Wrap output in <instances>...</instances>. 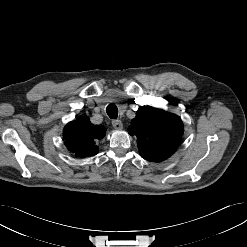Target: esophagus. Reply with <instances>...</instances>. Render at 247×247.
<instances>
[{"label": "esophagus", "mask_w": 247, "mask_h": 247, "mask_svg": "<svg viewBox=\"0 0 247 247\" xmlns=\"http://www.w3.org/2000/svg\"><path fill=\"white\" fill-rule=\"evenodd\" d=\"M112 125L117 130H121L123 128V124H122L121 120H118V119L117 120H113L112 121Z\"/></svg>", "instance_id": "obj_1"}]
</instances>
